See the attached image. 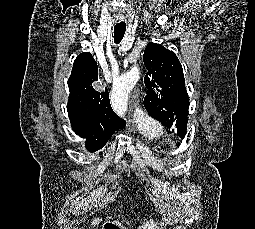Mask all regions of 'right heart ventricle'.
<instances>
[{
	"label": "right heart ventricle",
	"mask_w": 255,
	"mask_h": 229,
	"mask_svg": "<svg viewBox=\"0 0 255 229\" xmlns=\"http://www.w3.org/2000/svg\"><path fill=\"white\" fill-rule=\"evenodd\" d=\"M138 130L142 134V136L149 142V143H158L160 142L161 137V128L158 123L154 120L151 121V126L141 125L137 122ZM160 149L162 152H165V147L160 145Z\"/></svg>",
	"instance_id": "obj_1"
}]
</instances>
